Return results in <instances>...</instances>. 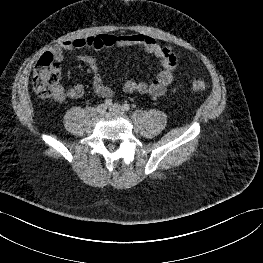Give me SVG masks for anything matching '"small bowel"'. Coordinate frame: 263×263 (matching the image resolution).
Masks as SVG:
<instances>
[{
  "label": "small bowel",
  "mask_w": 263,
  "mask_h": 263,
  "mask_svg": "<svg viewBox=\"0 0 263 263\" xmlns=\"http://www.w3.org/2000/svg\"><path fill=\"white\" fill-rule=\"evenodd\" d=\"M137 47L153 55L160 63L161 69L157 75L149 81L137 82L127 80L122 85V90L126 93L148 94L154 97L163 96L174 79V74L178 68V57L167 46L158 43L155 38L144 34H99L96 36L81 37L54 45L50 54L53 58L62 62L75 49L100 50L105 47ZM80 59L87 64L93 74L92 85L95 93L103 98L113 95V89L106 85L103 77L99 73L97 59L93 55H82ZM85 88L82 84H76L70 88L59 86L53 95L57 102H63L68 98L77 99L83 96Z\"/></svg>",
  "instance_id": "c3829d8e"
}]
</instances>
